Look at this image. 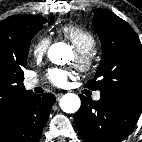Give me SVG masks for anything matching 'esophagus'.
Listing matches in <instances>:
<instances>
[{"label": "esophagus", "instance_id": "1", "mask_svg": "<svg viewBox=\"0 0 142 142\" xmlns=\"http://www.w3.org/2000/svg\"><path fill=\"white\" fill-rule=\"evenodd\" d=\"M62 95H63L62 93L56 94V95H55V96H56V99L59 100V99L62 97Z\"/></svg>", "mask_w": 142, "mask_h": 142}]
</instances>
